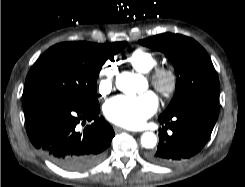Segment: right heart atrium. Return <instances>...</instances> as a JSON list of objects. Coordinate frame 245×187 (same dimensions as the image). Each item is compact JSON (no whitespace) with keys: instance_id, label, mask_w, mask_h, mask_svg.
Here are the masks:
<instances>
[{"instance_id":"right-heart-atrium-1","label":"right heart atrium","mask_w":245,"mask_h":187,"mask_svg":"<svg viewBox=\"0 0 245 187\" xmlns=\"http://www.w3.org/2000/svg\"><path fill=\"white\" fill-rule=\"evenodd\" d=\"M116 72L117 66L113 62L107 61L102 66L97 83V92L101 97H105L112 92Z\"/></svg>"}]
</instances>
